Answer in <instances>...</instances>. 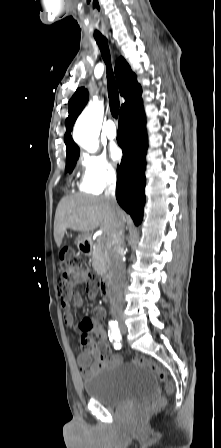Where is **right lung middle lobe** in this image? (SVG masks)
Here are the masks:
<instances>
[{"mask_svg": "<svg viewBox=\"0 0 221 448\" xmlns=\"http://www.w3.org/2000/svg\"><path fill=\"white\" fill-rule=\"evenodd\" d=\"M79 158V153L70 155L66 157V168L65 171L71 173L76 165Z\"/></svg>", "mask_w": 221, "mask_h": 448, "instance_id": "right-lung-middle-lobe-1", "label": "right lung middle lobe"}]
</instances>
